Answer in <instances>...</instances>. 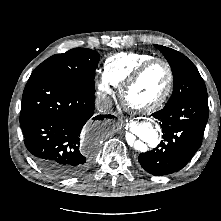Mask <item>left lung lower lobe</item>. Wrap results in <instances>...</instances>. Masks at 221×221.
Wrapping results in <instances>:
<instances>
[{
    "label": "left lung lower lobe",
    "instance_id": "1",
    "mask_svg": "<svg viewBox=\"0 0 221 221\" xmlns=\"http://www.w3.org/2000/svg\"><path fill=\"white\" fill-rule=\"evenodd\" d=\"M162 127L163 141L157 148L141 153L139 163L150 174L162 176L181 170L202 144L208 121V96L192 95L166 104L154 113Z\"/></svg>",
    "mask_w": 221,
    "mask_h": 221
}]
</instances>
